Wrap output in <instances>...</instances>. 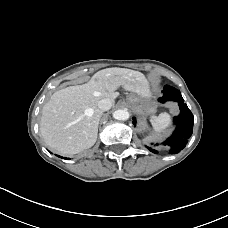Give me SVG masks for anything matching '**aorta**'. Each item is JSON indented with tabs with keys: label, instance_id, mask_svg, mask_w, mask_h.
<instances>
[{
	"label": "aorta",
	"instance_id": "obj_1",
	"mask_svg": "<svg viewBox=\"0 0 228 228\" xmlns=\"http://www.w3.org/2000/svg\"><path fill=\"white\" fill-rule=\"evenodd\" d=\"M113 117L117 120H127L129 119L130 114L126 109H119L113 113Z\"/></svg>",
	"mask_w": 228,
	"mask_h": 228
}]
</instances>
